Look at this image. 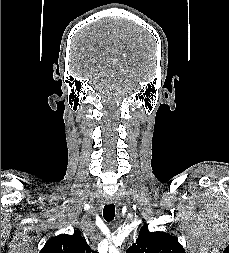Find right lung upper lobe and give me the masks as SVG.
Masks as SVG:
<instances>
[{
    "instance_id": "obj_1",
    "label": "right lung upper lobe",
    "mask_w": 229,
    "mask_h": 253,
    "mask_svg": "<svg viewBox=\"0 0 229 253\" xmlns=\"http://www.w3.org/2000/svg\"><path fill=\"white\" fill-rule=\"evenodd\" d=\"M40 253H97L89 247L87 242L74 231L73 235L61 234L49 239Z\"/></svg>"
}]
</instances>
